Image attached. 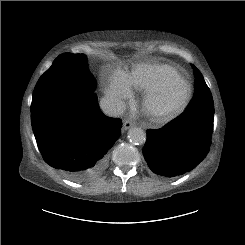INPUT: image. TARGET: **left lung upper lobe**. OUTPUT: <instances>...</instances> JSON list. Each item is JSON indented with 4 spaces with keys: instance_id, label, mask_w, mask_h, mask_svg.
Returning a JSON list of instances; mask_svg holds the SVG:
<instances>
[{
    "instance_id": "5c2ea615",
    "label": "left lung upper lobe",
    "mask_w": 245,
    "mask_h": 245,
    "mask_svg": "<svg viewBox=\"0 0 245 245\" xmlns=\"http://www.w3.org/2000/svg\"><path fill=\"white\" fill-rule=\"evenodd\" d=\"M193 70H194V75H195V84H194V86H195L194 94H195V92H197L200 89V85L201 84H205L206 85V83H205V81L203 79V76H202L201 72L195 66H193ZM206 87H207L206 93L204 94V95H206V97L201 100L202 102H206V99L212 98L210 89L208 88L207 85H206ZM202 96L200 98H202ZM196 101H200V100H195V98H193L189 105H193V103L196 102Z\"/></svg>"
}]
</instances>
